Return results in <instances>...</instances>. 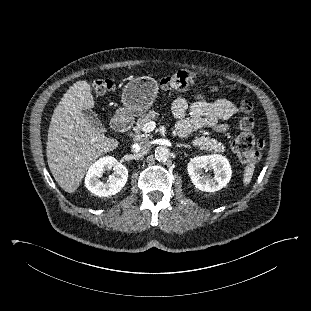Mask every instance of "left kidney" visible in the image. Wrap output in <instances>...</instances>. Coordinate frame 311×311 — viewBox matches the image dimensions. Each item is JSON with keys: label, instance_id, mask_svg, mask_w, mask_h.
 I'll return each instance as SVG.
<instances>
[{"label": "left kidney", "instance_id": "5707ae66", "mask_svg": "<svg viewBox=\"0 0 311 311\" xmlns=\"http://www.w3.org/2000/svg\"><path fill=\"white\" fill-rule=\"evenodd\" d=\"M192 183L201 191L215 192L221 190L231 179L232 170L229 161L222 155L195 157L187 166ZM213 171L214 177L204 174Z\"/></svg>", "mask_w": 311, "mask_h": 311}]
</instances>
